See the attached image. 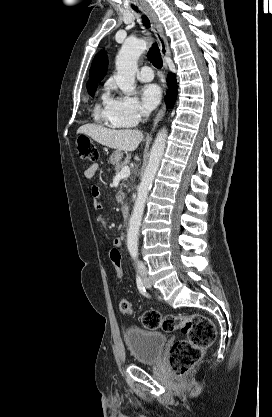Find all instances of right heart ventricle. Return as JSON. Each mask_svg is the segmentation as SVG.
<instances>
[{
  "mask_svg": "<svg viewBox=\"0 0 272 417\" xmlns=\"http://www.w3.org/2000/svg\"><path fill=\"white\" fill-rule=\"evenodd\" d=\"M102 100H103V107H97L95 110V118L97 121L104 123L110 127L113 128H122L125 127L124 125L120 124L119 122H117L112 115L109 112L108 109V101H109V97L108 95L105 93L102 96Z\"/></svg>",
  "mask_w": 272,
  "mask_h": 417,
  "instance_id": "e07e8e85",
  "label": "right heart ventricle"
}]
</instances>
